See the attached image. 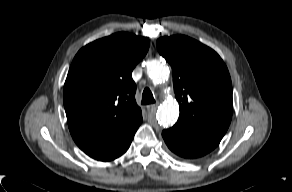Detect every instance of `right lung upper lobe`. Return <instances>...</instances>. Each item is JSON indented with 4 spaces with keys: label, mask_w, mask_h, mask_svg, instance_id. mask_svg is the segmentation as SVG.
Here are the masks:
<instances>
[{
    "label": "right lung upper lobe",
    "mask_w": 292,
    "mask_h": 192,
    "mask_svg": "<svg viewBox=\"0 0 292 192\" xmlns=\"http://www.w3.org/2000/svg\"><path fill=\"white\" fill-rule=\"evenodd\" d=\"M149 44L148 38L119 32L84 46L76 54L63 95L74 140L118 134L142 120L131 74Z\"/></svg>",
    "instance_id": "obj_1"
}]
</instances>
